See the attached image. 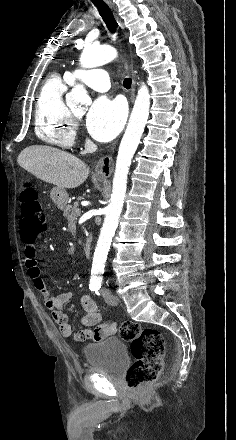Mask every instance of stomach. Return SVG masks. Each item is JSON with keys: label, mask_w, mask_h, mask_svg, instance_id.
I'll use <instances>...</instances> for the list:
<instances>
[{"label": "stomach", "mask_w": 236, "mask_h": 440, "mask_svg": "<svg viewBox=\"0 0 236 440\" xmlns=\"http://www.w3.org/2000/svg\"><path fill=\"white\" fill-rule=\"evenodd\" d=\"M97 179L99 181H103L105 177L97 176ZM50 196L53 202L55 203V205L58 207V209L60 210L65 209L69 200V195L65 189L55 187L52 189Z\"/></svg>", "instance_id": "stomach-1"}]
</instances>
